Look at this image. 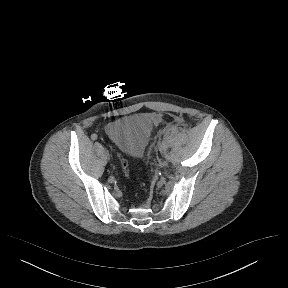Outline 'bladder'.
<instances>
[{
	"label": "bladder",
	"mask_w": 288,
	"mask_h": 288,
	"mask_svg": "<svg viewBox=\"0 0 288 288\" xmlns=\"http://www.w3.org/2000/svg\"><path fill=\"white\" fill-rule=\"evenodd\" d=\"M153 119L137 114L113 122L106 128L108 137L133 157L144 151L153 131Z\"/></svg>",
	"instance_id": "1"
}]
</instances>
